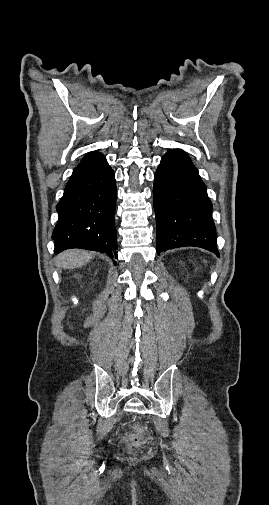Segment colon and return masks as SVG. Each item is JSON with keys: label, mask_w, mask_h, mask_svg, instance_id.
Segmentation results:
<instances>
[{"label": "colon", "mask_w": 269, "mask_h": 505, "mask_svg": "<svg viewBox=\"0 0 269 505\" xmlns=\"http://www.w3.org/2000/svg\"><path fill=\"white\" fill-rule=\"evenodd\" d=\"M125 442L130 446L138 445L143 442V436L140 433H136V434L128 436L125 439Z\"/></svg>", "instance_id": "5ec220e1"}]
</instances>
